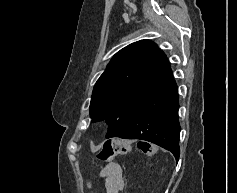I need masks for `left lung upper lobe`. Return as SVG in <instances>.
<instances>
[{
    "mask_svg": "<svg viewBox=\"0 0 237 193\" xmlns=\"http://www.w3.org/2000/svg\"><path fill=\"white\" fill-rule=\"evenodd\" d=\"M170 67L166 55L150 40H140L114 55L97 80L90 103L94 121L106 119V138L117 137L148 88Z\"/></svg>",
    "mask_w": 237,
    "mask_h": 193,
    "instance_id": "1",
    "label": "left lung upper lobe"
}]
</instances>
